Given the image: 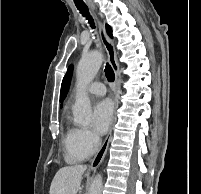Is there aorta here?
<instances>
[{"mask_svg": "<svg viewBox=\"0 0 201 194\" xmlns=\"http://www.w3.org/2000/svg\"><path fill=\"white\" fill-rule=\"evenodd\" d=\"M102 62V54L94 51L82 57L76 68L78 95L72 110L74 122L83 127H88L92 121L91 104L85 94V89L95 78ZM102 189V176L97 174L91 183L88 194H101Z\"/></svg>", "mask_w": 201, "mask_h": 194, "instance_id": "obj_1", "label": "aorta"}]
</instances>
